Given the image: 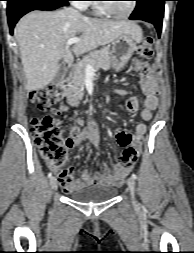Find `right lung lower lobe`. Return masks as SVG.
Masks as SVG:
<instances>
[{"label": "right lung lower lobe", "mask_w": 194, "mask_h": 253, "mask_svg": "<svg viewBox=\"0 0 194 253\" xmlns=\"http://www.w3.org/2000/svg\"><path fill=\"white\" fill-rule=\"evenodd\" d=\"M10 32L17 21L32 10H54L67 5L68 0H6Z\"/></svg>", "instance_id": "right-lung-lower-lobe-1"}]
</instances>
